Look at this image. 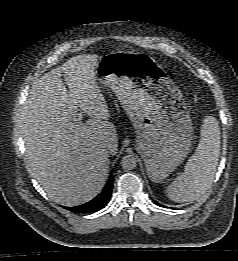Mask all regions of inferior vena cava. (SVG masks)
Returning a JSON list of instances; mask_svg holds the SVG:
<instances>
[{
	"label": "inferior vena cava",
	"mask_w": 238,
	"mask_h": 261,
	"mask_svg": "<svg viewBox=\"0 0 238 261\" xmlns=\"http://www.w3.org/2000/svg\"><path fill=\"white\" fill-rule=\"evenodd\" d=\"M105 150H106V152H108V150H109V145H105Z\"/></svg>",
	"instance_id": "602c4592"
}]
</instances>
